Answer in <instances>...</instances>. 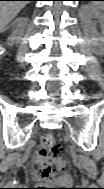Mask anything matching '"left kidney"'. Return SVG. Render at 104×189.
Returning <instances> with one entry per match:
<instances>
[{"label": "left kidney", "instance_id": "1", "mask_svg": "<svg viewBox=\"0 0 104 189\" xmlns=\"http://www.w3.org/2000/svg\"><path fill=\"white\" fill-rule=\"evenodd\" d=\"M86 18H97L100 21H103L104 16L98 9L91 6H85L82 11V19Z\"/></svg>", "mask_w": 104, "mask_h": 189}]
</instances>
